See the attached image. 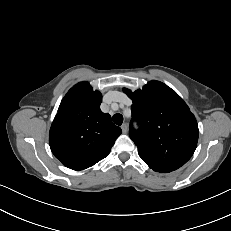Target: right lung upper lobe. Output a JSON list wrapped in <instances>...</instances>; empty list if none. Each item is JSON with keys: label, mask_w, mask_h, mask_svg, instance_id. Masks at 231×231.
Returning <instances> with one entry per match:
<instances>
[{"label": "right lung upper lobe", "mask_w": 231, "mask_h": 231, "mask_svg": "<svg viewBox=\"0 0 231 231\" xmlns=\"http://www.w3.org/2000/svg\"><path fill=\"white\" fill-rule=\"evenodd\" d=\"M102 95L88 82L72 87L63 98L49 133L52 153L66 167L83 170L104 159L121 128L100 109Z\"/></svg>", "instance_id": "1"}]
</instances>
